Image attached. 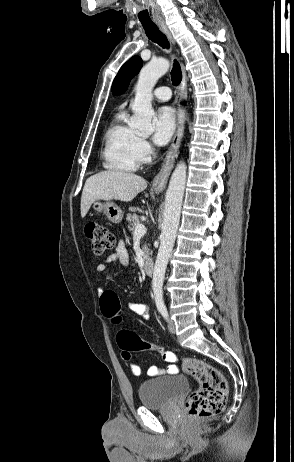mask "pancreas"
<instances>
[{"label":"pancreas","instance_id":"1","mask_svg":"<svg viewBox=\"0 0 294 462\" xmlns=\"http://www.w3.org/2000/svg\"><path fill=\"white\" fill-rule=\"evenodd\" d=\"M126 220L128 221V229H129V231H131V232L134 234L135 227H136L138 224H140L139 216L136 215V214L128 213V214H127V217H126ZM143 252H144L143 257H144V258H147V257H148L149 249H148V247H147L146 244H144V246H143Z\"/></svg>","mask_w":294,"mask_h":462}]
</instances>
